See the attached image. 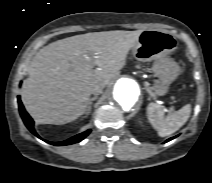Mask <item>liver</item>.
Listing matches in <instances>:
<instances>
[{
	"mask_svg": "<svg viewBox=\"0 0 212 183\" xmlns=\"http://www.w3.org/2000/svg\"><path fill=\"white\" fill-rule=\"evenodd\" d=\"M143 30L76 35L41 48L31 61L22 102L39 124L62 125L86 113L92 89L125 66ZM97 58L88 60L86 56ZM96 65L98 68L93 69Z\"/></svg>",
	"mask_w": 212,
	"mask_h": 183,
	"instance_id": "liver-1",
	"label": "liver"
}]
</instances>
